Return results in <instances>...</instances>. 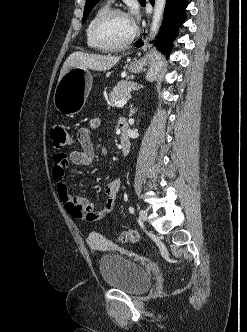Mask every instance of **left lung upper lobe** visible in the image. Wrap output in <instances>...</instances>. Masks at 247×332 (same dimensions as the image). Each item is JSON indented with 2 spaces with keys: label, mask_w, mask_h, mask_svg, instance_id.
I'll return each instance as SVG.
<instances>
[{
  "label": "left lung upper lobe",
  "mask_w": 247,
  "mask_h": 332,
  "mask_svg": "<svg viewBox=\"0 0 247 332\" xmlns=\"http://www.w3.org/2000/svg\"><path fill=\"white\" fill-rule=\"evenodd\" d=\"M99 0H86V4H85V8H84V15H83V19H82V23L85 22V20L87 19V16L89 15L90 11L92 10V8L95 6V4L98 2ZM140 4L142 6L145 5V0H139Z\"/></svg>",
  "instance_id": "1"
}]
</instances>
